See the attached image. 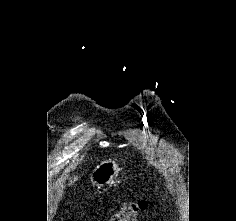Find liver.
<instances>
[{"mask_svg": "<svg viewBox=\"0 0 236 221\" xmlns=\"http://www.w3.org/2000/svg\"><path fill=\"white\" fill-rule=\"evenodd\" d=\"M77 178H78V177H77V176H75V177H74V180H76Z\"/></svg>", "mask_w": 236, "mask_h": 221, "instance_id": "liver-1", "label": "liver"}]
</instances>
